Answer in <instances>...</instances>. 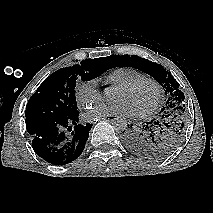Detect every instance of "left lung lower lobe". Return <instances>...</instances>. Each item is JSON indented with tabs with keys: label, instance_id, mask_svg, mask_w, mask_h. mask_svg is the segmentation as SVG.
Instances as JSON below:
<instances>
[{
	"label": "left lung lower lobe",
	"instance_id": "obj_1",
	"mask_svg": "<svg viewBox=\"0 0 213 213\" xmlns=\"http://www.w3.org/2000/svg\"><path fill=\"white\" fill-rule=\"evenodd\" d=\"M151 125V122H147L140 129L132 128L131 125L127 131H123V142L126 148L132 153L140 156L138 153L142 152V135H144V132L151 129Z\"/></svg>",
	"mask_w": 213,
	"mask_h": 213
}]
</instances>
